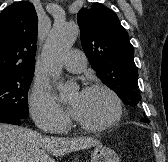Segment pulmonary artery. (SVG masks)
Here are the masks:
<instances>
[{"label": "pulmonary artery", "instance_id": "1", "mask_svg": "<svg viewBox=\"0 0 168 162\" xmlns=\"http://www.w3.org/2000/svg\"><path fill=\"white\" fill-rule=\"evenodd\" d=\"M62 63L69 72L80 73L87 66V58L82 51L72 49L64 56Z\"/></svg>", "mask_w": 168, "mask_h": 162}]
</instances>
